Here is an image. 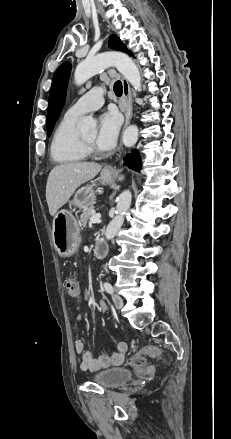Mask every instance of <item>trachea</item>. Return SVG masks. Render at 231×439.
I'll list each match as a JSON object with an SVG mask.
<instances>
[{
  "label": "trachea",
  "mask_w": 231,
  "mask_h": 439,
  "mask_svg": "<svg viewBox=\"0 0 231 439\" xmlns=\"http://www.w3.org/2000/svg\"><path fill=\"white\" fill-rule=\"evenodd\" d=\"M114 93L116 96L120 97L123 92V86L121 81H116L113 87Z\"/></svg>",
  "instance_id": "3493384b"
}]
</instances>
